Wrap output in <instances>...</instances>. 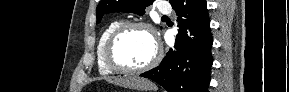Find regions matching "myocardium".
<instances>
[{"mask_svg": "<svg viewBox=\"0 0 289 92\" xmlns=\"http://www.w3.org/2000/svg\"><path fill=\"white\" fill-rule=\"evenodd\" d=\"M134 28H142L147 30L151 34L155 43V53L153 58L147 64L137 68L129 67L122 64L117 60L115 56V49L119 40L123 37V35L126 32ZM161 56H162V47L157 39L156 33L152 28V26L144 21H127L122 23L111 33L104 49V58L107 66L110 69L114 70L115 72L126 74H139L152 69L159 63Z\"/></svg>", "mask_w": 289, "mask_h": 92, "instance_id": "f54148a6", "label": "myocardium"}]
</instances>
